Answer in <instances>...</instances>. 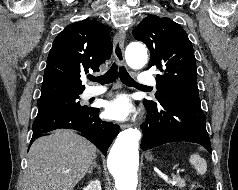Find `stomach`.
<instances>
[{
    "label": "stomach",
    "mask_w": 238,
    "mask_h": 190,
    "mask_svg": "<svg viewBox=\"0 0 238 190\" xmlns=\"http://www.w3.org/2000/svg\"><path fill=\"white\" fill-rule=\"evenodd\" d=\"M147 159H149V160L152 159V156H149V155H148V156H147Z\"/></svg>",
    "instance_id": "1"
}]
</instances>
